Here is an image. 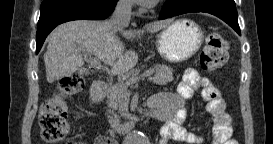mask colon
<instances>
[{
	"mask_svg": "<svg viewBox=\"0 0 273 144\" xmlns=\"http://www.w3.org/2000/svg\"><path fill=\"white\" fill-rule=\"evenodd\" d=\"M228 57L227 43L218 32L206 37L200 53V65L204 71L215 74ZM83 87V78L72 75L61 79L58 94L45 101L40 109L39 124L42 139L49 143L63 140L68 132V109L64 98L78 93Z\"/></svg>",
	"mask_w": 273,
	"mask_h": 144,
	"instance_id": "colon-1",
	"label": "colon"
}]
</instances>
